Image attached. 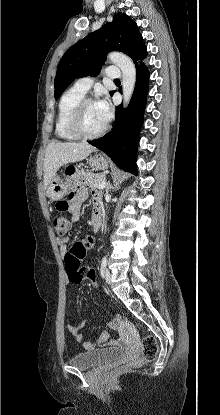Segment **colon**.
<instances>
[{"mask_svg":"<svg viewBox=\"0 0 220 415\" xmlns=\"http://www.w3.org/2000/svg\"><path fill=\"white\" fill-rule=\"evenodd\" d=\"M69 203L65 200L57 202V209L63 210L67 208ZM54 229L56 233L63 237L69 233L70 221L67 217L58 216L54 219ZM89 250L85 241H77L72 248L65 253L64 260L68 279L72 284L78 285L84 281L94 283V271L81 267L80 262L86 256ZM158 352V344L153 336H146L142 340L141 356L135 357L126 363L127 368H138L144 363L152 361Z\"/></svg>","mask_w":220,"mask_h":415,"instance_id":"5ec220e1","label":"colon"}]
</instances>
